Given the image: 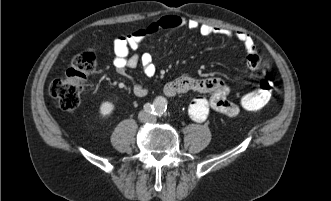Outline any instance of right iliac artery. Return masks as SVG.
<instances>
[{
  "label": "right iliac artery",
  "mask_w": 331,
  "mask_h": 201,
  "mask_svg": "<svg viewBox=\"0 0 331 201\" xmlns=\"http://www.w3.org/2000/svg\"><path fill=\"white\" fill-rule=\"evenodd\" d=\"M144 110L148 113H154L155 108L150 103H147L144 105Z\"/></svg>",
  "instance_id": "1"
}]
</instances>
